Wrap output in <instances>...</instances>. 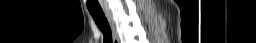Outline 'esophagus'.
Here are the masks:
<instances>
[{"label":"esophagus","instance_id":"esophagus-1","mask_svg":"<svg viewBox=\"0 0 256 43\" xmlns=\"http://www.w3.org/2000/svg\"><path fill=\"white\" fill-rule=\"evenodd\" d=\"M104 14L111 26V29H112V33H113V43H119V40H118V36H117V33H116V28H115V24L112 20V17H111V14L109 12V10L107 9H104Z\"/></svg>","mask_w":256,"mask_h":43}]
</instances>
